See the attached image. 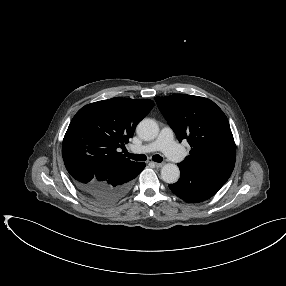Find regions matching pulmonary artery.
Listing matches in <instances>:
<instances>
[{"instance_id":"obj_1","label":"pulmonary artery","mask_w":286,"mask_h":286,"mask_svg":"<svg viewBox=\"0 0 286 286\" xmlns=\"http://www.w3.org/2000/svg\"><path fill=\"white\" fill-rule=\"evenodd\" d=\"M131 150L135 153H151L161 150L173 160L181 156V150L174 140V132L169 127L162 128L155 141L141 146H133Z\"/></svg>"}]
</instances>
